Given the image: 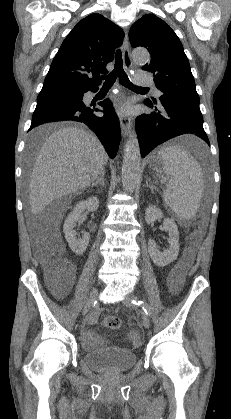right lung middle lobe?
<instances>
[{
    "instance_id": "1",
    "label": "right lung middle lobe",
    "mask_w": 231,
    "mask_h": 419,
    "mask_svg": "<svg viewBox=\"0 0 231 419\" xmlns=\"http://www.w3.org/2000/svg\"><path fill=\"white\" fill-rule=\"evenodd\" d=\"M79 93V89L61 86V85H53V86H46L43 87L41 92L38 95L37 101H43L47 99L53 98H76ZM39 139L34 140V142H38Z\"/></svg>"
}]
</instances>
